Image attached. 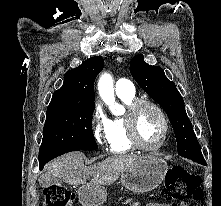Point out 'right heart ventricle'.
Here are the masks:
<instances>
[{
  "label": "right heart ventricle",
  "mask_w": 221,
  "mask_h": 206,
  "mask_svg": "<svg viewBox=\"0 0 221 206\" xmlns=\"http://www.w3.org/2000/svg\"><path fill=\"white\" fill-rule=\"evenodd\" d=\"M117 95L126 106H130L136 100L134 94ZM108 145L113 154H123L135 149L129 139L126 115L108 120Z\"/></svg>",
  "instance_id": "1"
}]
</instances>
